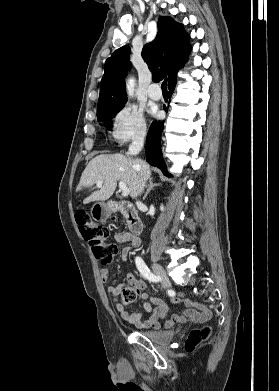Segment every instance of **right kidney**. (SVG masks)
Masks as SVG:
<instances>
[{
	"mask_svg": "<svg viewBox=\"0 0 279 391\" xmlns=\"http://www.w3.org/2000/svg\"><path fill=\"white\" fill-rule=\"evenodd\" d=\"M160 210H161V211H164V207H163L162 204H161V206H160Z\"/></svg>",
	"mask_w": 279,
	"mask_h": 391,
	"instance_id": "1",
	"label": "right kidney"
}]
</instances>
